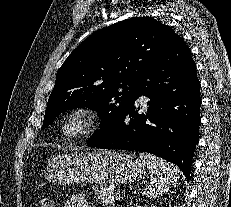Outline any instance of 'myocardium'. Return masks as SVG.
Wrapping results in <instances>:
<instances>
[{
  "instance_id": "f54148a6",
  "label": "myocardium",
  "mask_w": 231,
  "mask_h": 207,
  "mask_svg": "<svg viewBox=\"0 0 231 207\" xmlns=\"http://www.w3.org/2000/svg\"><path fill=\"white\" fill-rule=\"evenodd\" d=\"M73 121H80L82 126L78 132H70L69 125ZM98 113L87 106H78L69 110L61 122V134L68 140H82L92 135L99 127Z\"/></svg>"
}]
</instances>
